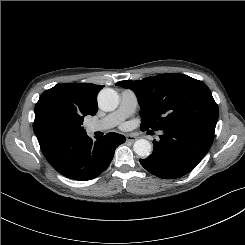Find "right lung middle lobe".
<instances>
[{
	"label": "right lung middle lobe",
	"instance_id": "dd1d6c3e",
	"mask_svg": "<svg viewBox=\"0 0 245 245\" xmlns=\"http://www.w3.org/2000/svg\"><path fill=\"white\" fill-rule=\"evenodd\" d=\"M45 119L51 128L60 132L69 131L73 125L71 118L56 106L47 109Z\"/></svg>",
	"mask_w": 245,
	"mask_h": 245
}]
</instances>
